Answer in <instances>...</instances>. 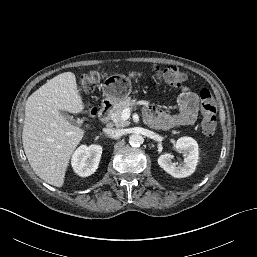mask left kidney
I'll use <instances>...</instances> for the list:
<instances>
[{
	"label": "left kidney",
	"instance_id": "obj_1",
	"mask_svg": "<svg viewBox=\"0 0 257 257\" xmlns=\"http://www.w3.org/2000/svg\"><path fill=\"white\" fill-rule=\"evenodd\" d=\"M176 150L183 153L184 161L178 165L172 162L173 155L171 153L162 154L158 158V164L168 174L175 178H185L191 175L197 166L199 159V148L197 142L191 137H181L176 142Z\"/></svg>",
	"mask_w": 257,
	"mask_h": 257
}]
</instances>
